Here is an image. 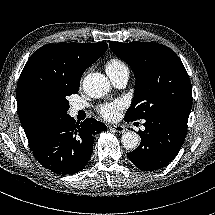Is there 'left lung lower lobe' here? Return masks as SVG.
<instances>
[{"mask_svg":"<svg viewBox=\"0 0 215 215\" xmlns=\"http://www.w3.org/2000/svg\"><path fill=\"white\" fill-rule=\"evenodd\" d=\"M190 112L163 113L145 119V130L139 129L141 143L128 153L134 165L144 171L161 169L178 154L187 134ZM125 121H128L124 118Z\"/></svg>","mask_w":215,"mask_h":215,"instance_id":"0a47b994","label":"left lung lower lobe"}]
</instances>
